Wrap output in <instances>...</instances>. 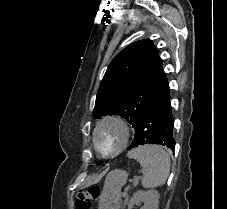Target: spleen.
Wrapping results in <instances>:
<instances>
[{
  "label": "spleen",
  "mask_w": 227,
  "mask_h": 209,
  "mask_svg": "<svg viewBox=\"0 0 227 209\" xmlns=\"http://www.w3.org/2000/svg\"><path fill=\"white\" fill-rule=\"evenodd\" d=\"M128 159H136L142 167V187L154 189L164 185L170 169V157L159 145H143L127 153Z\"/></svg>",
  "instance_id": "1"
}]
</instances>
